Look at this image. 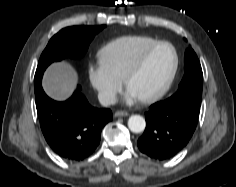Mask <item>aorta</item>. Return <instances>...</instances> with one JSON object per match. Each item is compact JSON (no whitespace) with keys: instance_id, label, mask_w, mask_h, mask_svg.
<instances>
[{"instance_id":"obj_1","label":"aorta","mask_w":236,"mask_h":187,"mask_svg":"<svg viewBox=\"0 0 236 187\" xmlns=\"http://www.w3.org/2000/svg\"><path fill=\"white\" fill-rule=\"evenodd\" d=\"M128 127L134 133L143 132L146 127L145 119L140 115H132L128 119Z\"/></svg>"}]
</instances>
